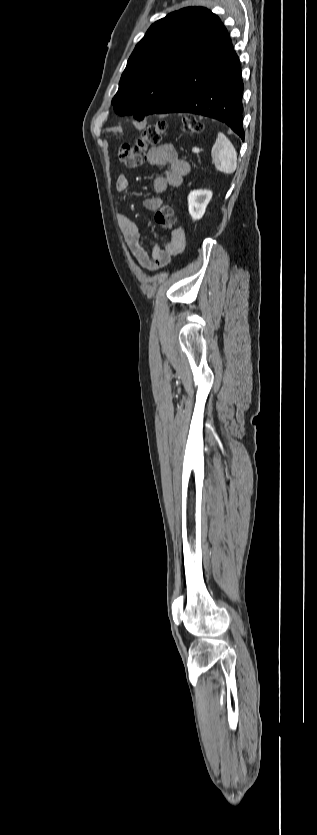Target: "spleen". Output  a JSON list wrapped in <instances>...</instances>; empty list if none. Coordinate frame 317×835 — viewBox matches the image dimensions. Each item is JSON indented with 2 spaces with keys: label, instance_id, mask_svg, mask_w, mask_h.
Here are the masks:
<instances>
[{
  "label": "spleen",
  "instance_id": "3e777b00",
  "mask_svg": "<svg viewBox=\"0 0 317 835\" xmlns=\"http://www.w3.org/2000/svg\"><path fill=\"white\" fill-rule=\"evenodd\" d=\"M214 166L217 171L224 174H232L237 168V152L222 132H218L216 142L211 150Z\"/></svg>",
  "mask_w": 317,
  "mask_h": 835
}]
</instances>
